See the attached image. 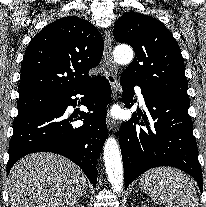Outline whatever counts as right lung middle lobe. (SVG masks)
Listing matches in <instances>:
<instances>
[{
  "label": "right lung middle lobe",
  "instance_id": "obj_1",
  "mask_svg": "<svg viewBox=\"0 0 206 207\" xmlns=\"http://www.w3.org/2000/svg\"><path fill=\"white\" fill-rule=\"evenodd\" d=\"M57 105L58 97L56 94H34L20 97L18 101V116L49 107H56Z\"/></svg>",
  "mask_w": 206,
  "mask_h": 207
}]
</instances>
